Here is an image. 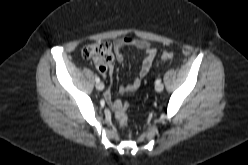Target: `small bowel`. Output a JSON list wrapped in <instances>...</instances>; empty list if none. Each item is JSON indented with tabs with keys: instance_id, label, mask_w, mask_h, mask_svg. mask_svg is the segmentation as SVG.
Masks as SVG:
<instances>
[{
	"instance_id": "obj_1",
	"label": "small bowel",
	"mask_w": 248,
	"mask_h": 165,
	"mask_svg": "<svg viewBox=\"0 0 248 165\" xmlns=\"http://www.w3.org/2000/svg\"><path fill=\"white\" fill-rule=\"evenodd\" d=\"M128 47L143 50L144 58L141 63L137 77L131 83L121 85L119 87L120 93L133 92L140 87L143 78L148 74L152 66L153 60L156 56V48L150 42L137 38H123L117 40L113 45L115 55L118 61H123L125 59V49ZM101 73L103 75L110 76L112 74V67L110 66L108 70L101 71ZM106 99L108 101L111 100V94L109 92L106 93Z\"/></svg>"
}]
</instances>
